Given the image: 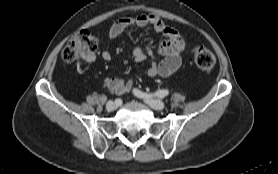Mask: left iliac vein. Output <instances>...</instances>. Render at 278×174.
I'll use <instances>...</instances> for the list:
<instances>
[{
	"mask_svg": "<svg viewBox=\"0 0 278 174\" xmlns=\"http://www.w3.org/2000/svg\"><path fill=\"white\" fill-rule=\"evenodd\" d=\"M144 101L155 110H162L165 107V103L161 100L145 98Z\"/></svg>",
	"mask_w": 278,
	"mask_h": 174,
	"instance_id": "4c4485c4",
	"label": "left iliac vein"
}]
</instances>
